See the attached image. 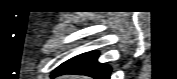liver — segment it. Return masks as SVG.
<instances>
[{"instance_id":"6515ba94","label":"liver","mask_w":177,"mask_h":79,"mask_svg":"<svg viewBox=\"0 0 177 79\" xmlns=\"http://www.w3.org/2000/svg\"><path fill=\"white\" fill-rule=\"evenodd\" d=\"M61 79H81L78 76H62Z\"/></svg>"}]
</instances>
